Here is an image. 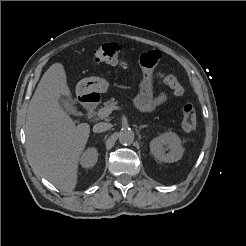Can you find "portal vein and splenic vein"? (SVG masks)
Instances as JSON below:
<instances>
[{"label":"portal vein and splenic vein","mask_w":246,"mask_h":246,"mask_svg":"<svg viewBox=\"0 0 246 246\" xmlns=\"http://www.w3.org/2000/svg\"><path fill=\"white\" fill-rule=\"evenodd\" d=\"M118 109H119L118 106L102 108L98 111L97 116L102 119L109 116L113 110H118Z\"/></svg>","instance_id":"obj_1"}]
</instances>
